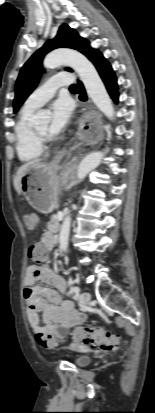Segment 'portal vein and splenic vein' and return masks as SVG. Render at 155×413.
Here are the masks:
<instances>
[{"label":"portal vein and splenic vein","instance_id":"1","mask_svg":"<svg viewBox=\"0 0 155 413\" xmlns=\"http://www.w3.org/2000/svg\"><path fill=\"white\" fill-rule=\"evenodd\" d=\"M57 217H58V219H60V218H61V213H58V216H57Z\"/></svg>","mask_w":155,"mask_h":413}]
</instances>
